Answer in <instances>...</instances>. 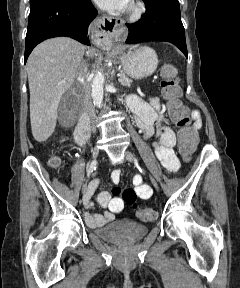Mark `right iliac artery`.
<instances>
[{"mask_svg": "<svg viewBox=\"0 0 240 288\" xmlns=\"http://www.w3.org/2000/svg\"><path fill=\"white\" fill-rule=\"evenodd\" d=\"M95 165H96V161H94V162L92 163V167L88 170V172H87V177L90 176V174H91L92 171H93V168L95 169Z\"/></svg>", "mask_w": 240, "mask_h": 288, "instance_id": "82829eb1", "label": "right iliac artery"}]
</instances>
